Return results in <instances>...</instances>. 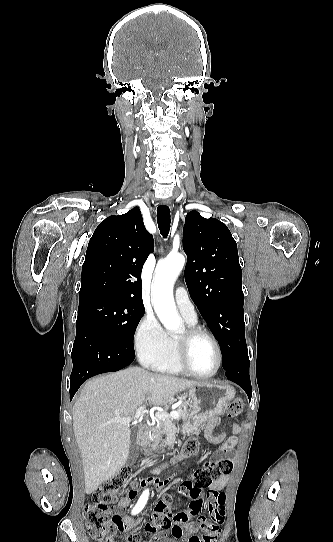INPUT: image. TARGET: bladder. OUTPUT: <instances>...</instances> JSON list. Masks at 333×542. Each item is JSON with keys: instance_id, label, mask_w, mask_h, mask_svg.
Instances as JSON below:
<instances>
[{"instance_id": "1", "label": "bladder", "mask_w": 333, "mask_h": 542, "mask_svg": "<svg viewBox=\"0 0 333 542\" xmlns=\"http://www.w3.org/2000/svg\"><path fill=\"white\" fill-rule=\"evenodd\" d=\"M165 538H168L167 540H157L156 542H178L177 539H175L174 537H165Z\"/></svg>"}]
</instances>
